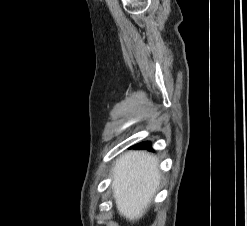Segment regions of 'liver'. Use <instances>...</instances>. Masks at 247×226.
Returning <instances> with one entry per match:
<instances>
[{
  "mask_svg": "<svg viewBox=\"0 0 247 226\" xmlns=\"http://www.w3.org/2000/svg\"><path fill=\"white\" fill-rule=\"evenodd\" d=\"M113 197L120 215L140 219L149 207L160 183L157 158L145 151L122 155L112 168Z\"/></svg>",
  "mask_w": 247,
  "mask_h": 226,
  "instance_id": "obj_1",
  "label": "liver"
}]
</instances>
